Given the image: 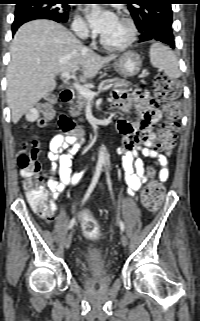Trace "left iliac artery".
<instances>
[{
    "mask_svg": "<svg viewBox=\"0 0 200 321\" xmlns=\"http://www.w3.org/2000/svg\"><path fill=\"white\" fill-rule=\"evenodd\" d=\"M106 175H107V183H108V186H109V190H110V193L112 194L111 180H110L109 173H108L107 170H106ZM119 226H120L121 231L124 232L125 226H124V223H123L122 220H119Z\"/></svg>",
    "mask_w": 200,
    "mask_h": 321,
    "instance_id": "obj_1",
    "label": "left iliac artery"
}]
</instances>
